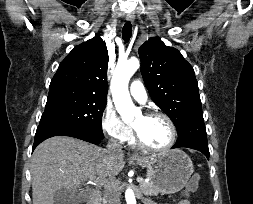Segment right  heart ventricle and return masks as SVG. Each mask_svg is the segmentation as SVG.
Wrapping results in <instances>:
<instances>
[{"label": "right heart ventricle", "mask_w": 253, "mask_h": 204, "mask_svg": "<svg viewBox=\"0 0 253 204\" xmlns=\"http://www.w3.org/2000/svg\"><path fill=\"white\" fill-rule=\"evenodd\" d=\"M135 142H134V140H131V144H134Z\"/></svg>", "instance_id": "right-heart-ventricle-1"}]
</instances>
